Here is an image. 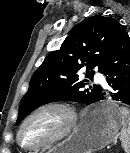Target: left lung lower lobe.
Listing matches in <instances>:
<instances>
[{
  "label": "left lung lower lobe",
  "instance_id": "0a47b994",
  "mask_svg": "<svg viewBox=\"0 0 130 153\" xmlns=\"http://www.w3.org/2000/svg\"><path fill=\"white\" fill-rule=\"evenodd\" d=\"M112 88L109 95L119 102L130 105V38L122 31L114 42L101 71ZM102 92L97 101L103 100Z\"/></svg>",
  "mask_w": 130,
  "mask_h": 153
}]
</instances>
